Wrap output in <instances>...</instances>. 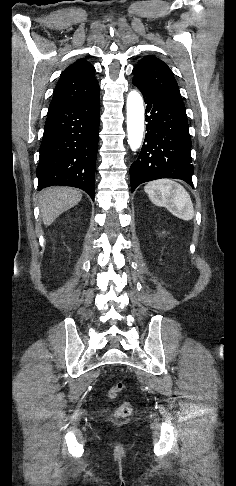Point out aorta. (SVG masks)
Instances as JSON below:
<instances>
[{
  "label": "aorta",
  "instance_id": "aorta-1",
  "mask_svg": "<svg viewBox=\"0 0 236 486\" xmlns=\"http://www.w3.org/2000/svg\"><path fill=\"white\" fill-rule=\"evenodd\" d=\"M127 133L128 144L132 151H137L144 133V106L141 95L133 90L127 97Z\"/></svg>",
  "mask_w": 236,
  "mask_h": 486
}]
</instances>
